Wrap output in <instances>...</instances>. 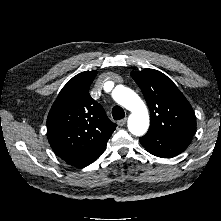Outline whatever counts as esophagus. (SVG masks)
<instances>
[{
	"mask_svg": "<svg viewBox=\"0 0 221 221\" xmlns=\"http://www.w3.org/2000/svg\"><path fill=\"white\" fill-rule=\"evenodd\" d=\"M126 122H127V119L124 118V119L119 120L117 124H118L119 126H124V125L126 124Z\"/></svg>",
	"mask_w": 221,
	"mask_h": 221,
	"instance_id": "34e87169",
	"label": "esophagus"
}]
</instances>
